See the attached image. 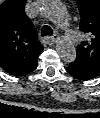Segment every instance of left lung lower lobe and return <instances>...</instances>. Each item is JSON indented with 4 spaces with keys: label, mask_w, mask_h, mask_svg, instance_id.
<instances>
[{
    "label": "left lung lower lobe",
    "mask_w": 100,
    "mask_h": 118,
    "mask_svg": "<svg viewBox=\"0 0 100 118\" xmlns=\"http://www.w3.org/2000/svg\"><path fill=\"white\" fill-rule=\"evenodd\" d=\"M67 71L69 74L79 80H90L97 77L100 73V70L86 65L78 60L70 63L67 67Z\"/></svg>",
    "instance_id": "left-lung-lower-lobe-1"
}]
</instances>
